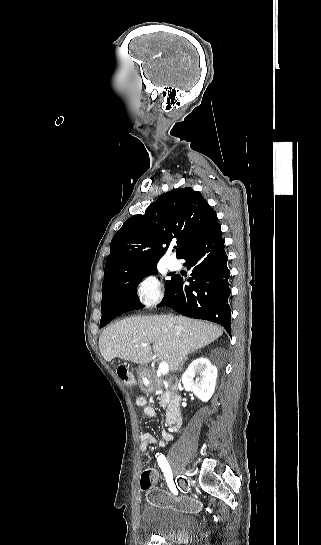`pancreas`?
Wrapping results in <instances>:
<instances>
[{
    "mask_svg": "<svg viewBox=\"0 0 321 545\" xmlns=\"http://www.w3.org/2000/svg\"><path fill=\"white\" fill-rule=\"evenodd\" d=\"M146 375H155V373H153L151 369H147ZM168 399H169V391H166V393H163V395H161L160 407H165L164 401H168Z\"/></svg>",
    "mask_w": 321,
    "mask_h": 545,
    "instance_id": "obj_1",
    "label": "pancreas"
}]
</instances>
